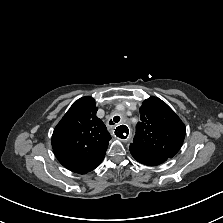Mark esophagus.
I'll return each instance as SVG.
<instances>
[{
    "label": "esophagus",
    "mask_w": 223,
    "mask_h": 223,
    "mask_svg": "<svg viewBox=\"0 0 223 223\" xmlns=\"http://www.w3.org/2000/svg\"><path fill=\"white\" fill-rule=\"evenodd\" d=\"M113 135L117 139H121L124 142L128 141L130 139V136H131L130 130H128V128L125 125L117 126L113 130Z\"/></svg>",
    "instance_id": "obj_1"
}]
</instances>
